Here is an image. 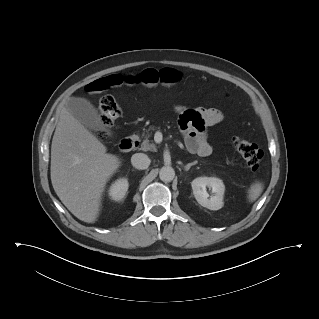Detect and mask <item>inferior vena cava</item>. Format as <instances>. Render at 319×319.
<instances>
[{
	"mask_svg": "<svg viewBox=\"0 0 319 319\" xmlns=\"http://www.w3.org/2000/svg\"><path fill=\"white\" fill-rule=\"evenodd\" d=\"M151 160L144 153H136L131 157V163L136 169L144 170L150 165Z\"/></svg>",
	"mask_w": 319,
	"mask_h": 319,
	"instance_id": "inferior-vena-cava-1",
	"label": "inferior vena cava"
}]
</instances>
